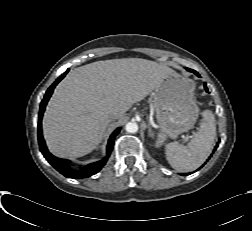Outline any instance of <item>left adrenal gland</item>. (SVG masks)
Returning a JSON list of instances; mask_svg holds the SVG:
<instances>
[{"label":"left adrenal gland","mask_w":252,"mask_h":231,"mask_svg":"<svg viewBox=\"0 0 252 231\" xmlns=\"http://www.w3.org/2000/svg\"><path fill=\"white\" fill-rule=\"evenodd\" d=\"M148 135L150 136V137H152L153 136V134H152V129H151V126H150V124H148Z\"/></svg>","instance_id":"1"}]
</instances>
